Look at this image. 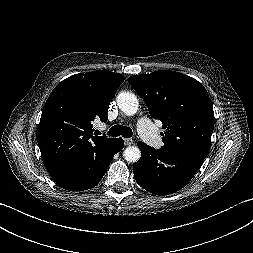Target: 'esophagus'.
Segmentation results:
<instances>
[{
  "mask_svg": "<svg viewBox=\"0 0 253 253\" xmlns=\"http://www.w3.org/2000/svg\"><path fill=\"white\" fill-rule=\"evenodd\" d=\"M133 139H131V138H125L124 139V144L126 145V146H129V145H132L133 144Z\"/></svg>",
  "mask_w": 253,
  "mask_h": 253,
  "instance_id": "34e87169",
  "label": "esophagus"
}]
</instances>
